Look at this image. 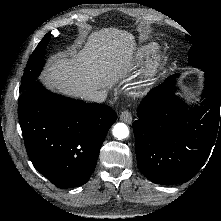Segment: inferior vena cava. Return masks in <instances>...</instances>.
<instances>
[{"label":"inferior vena cava","instance_id":"obj_1","mask_svg":"<svg viewBox=\"0 0 221 221\" xmlns=\"http://www.w3.org/2000/svg\"><path fill=\"white\" fill-rule=\"evenodd\" d=\"M84 98L92 102H103L107 98L106 91H88L84 94Z\"/></svg>","mask_w":221,"mask_h":221}]
</instances>
